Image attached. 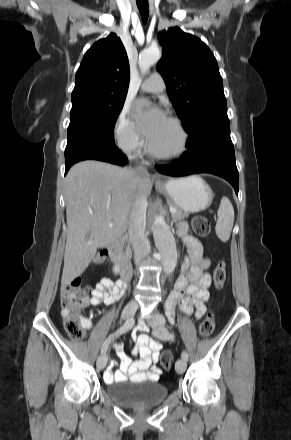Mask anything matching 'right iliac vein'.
<instances>
[{
	"instance_id": "1",
	"label": "right iliac vein",
	"mask_w": 291,
	"mask_h": 440,
	"mask_svg": "<svg viewBox=\"0 0 291 440\" xmlns=\"http://www.w3.org/2000/svg\"><path fill=\"white\" fill-rule=\"evenodd\" d=\"M138 309V305L135 301H130L124 308L122 312V319L125 320L131 317ZM97 367L99 369H104L107 364V355L106 353H102L97 359Z\"/></svg>"
}]
</instances>
